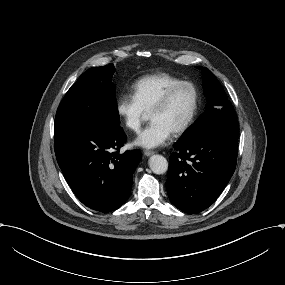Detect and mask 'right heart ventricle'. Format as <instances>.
<instances>
[{"instance_id":"right-heart-ventricle-1","label":"right heart ventricle","mask_w":285,"mask_h":285,"mask_svg":"<svg viewBox=\"0 0 285 285\" xmlns=\"http://www.w3.org/2000/svg\"><path fill=\"white\" fill-rule=\"evenodd\" d=\"M179 81L181 79L174 75L155 73L139 79L134 85V92L139 102L149 112L163 93Z\"/></svg>"}]
</instances>
